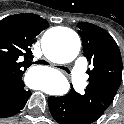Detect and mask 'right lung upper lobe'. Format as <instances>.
Returning a JSON list of instances; mask_svg holds the SVG:
<instances>
[{
    "label": "right lung upper lobe",
    "mask_w": 124,
    "mask_h": 124,
    "mask_svg": "<svg viewBox=\"0 0 124 124\" xmlns=\"http://www.w3.org/2000/svg\"><path fill=\"white\" fill-rule=\"evenodd\" d=\"M48 27L36 14L8 16L0 21V92L22 87V76L32 63L34 38Z\"/></svg>",
    "instance_id": "1"
}]
</instances>
